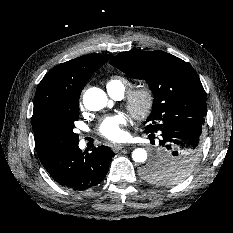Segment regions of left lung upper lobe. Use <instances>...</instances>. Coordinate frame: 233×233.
I'll use <instances>...</instances> for the list:
<instances>
[{"label":"left lung upper lobe","mask_w":233,"mask_h":233,"mask_svg":"<svg viewBox=\"0 0 233 233\" xmlns=\"http://www.w3.org/2000/svg\"><path fill=\"white\" fill-rule=\"evenodd\" d=\"M110 64L129 77L143 78L148 83L154 102L146 120V132H157L163 124L174 120L205 122V91L189 63L156 50L119 53ZM197 162L186 156L165 164L150 162L142 170V177L152 183L177 184L192 173Z\"/></svg>","instance_id":"1"}]
</instances>
